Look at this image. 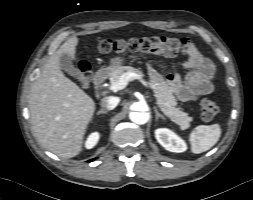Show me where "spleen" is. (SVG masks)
Returning a JSON list of instances; mask_svg holds the SVG:
<instances>
[{
    "mask_svg": "<svg viewBox=\"0 0 253 200\" xmlns=\"http://www.w3.org/2000/svg\"><path fill=\"white\" fill-rule=\"evenodd\" d=\"M220 135L218 124L197 126L190 134L192 152L198 154L209 150L218 142Z\"/></svg>",
    "mask_w": 253,
    "mask_h": 200,
    "instance_id": "1",
    "label": "spleen"
}]
</instances>
